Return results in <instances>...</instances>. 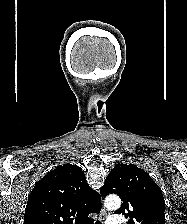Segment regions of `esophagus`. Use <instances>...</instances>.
Segmentation results:
<instances>
[{
    "mask_svg": "<svg viewBox=\"0 0 187 224\" xmlns=\"http://www.w3.org/2000/svg\"><path fill=\"white\" fill-rule=\"evenodd\" d=\"M106 217H107V211L105 208H102L99 213V220L103 223Z\"/></svg>",
    "mask_w": 187,
    "mask_h": 224,
    "instance_id": "1",
    "label": "esophagus"
}]
</instances>
